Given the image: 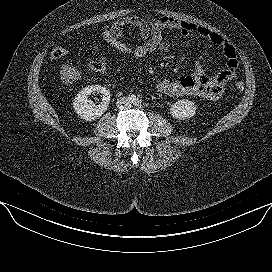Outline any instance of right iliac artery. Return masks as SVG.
<instances>
[{
    "mask_svg": "<svg viewBox=\"0 0 272 272\" xmlns=\"http://www.w3.org/2000/svg\"><path fill=\"white\" fill-rule=\"evenodd\" d=\"M128 99H129V101H131V102H135L136 96L133 95V94H131V95H129Z\"/></svg>",
    "mask_w": 272,
    "mask_h": 272,
    "instance_id": "82829eb1",
    "label": "right iliac artery"
}]
</instances>
